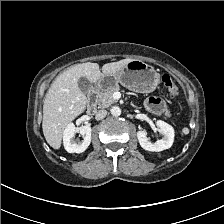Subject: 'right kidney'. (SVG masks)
<instances>
[{"label":"right kidney","mask_w":224,"mask_h":224,"mask_svg":"<svg viewBox=\"0 0 224 224\" xmlns=\"http://www.w3.org/2000/svg\"><path fill=\"white\" fill-rule=\"evenodd\" d=\"M91 127L89 125L75 127L73 123L67 125L63 134L64 148L69 153H82L91 143ZM80 133L83 136V141L76 143L73 138L75 133Z\"/></svg>","instance_id":"right-kidney-1"}]
</instances>
